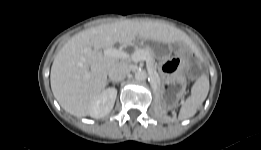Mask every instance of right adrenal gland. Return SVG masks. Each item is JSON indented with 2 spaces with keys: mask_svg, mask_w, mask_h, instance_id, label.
Segmentation results:
<instances>
[{
  "mask_svg": "<svg viewBox=\"0 0 261 150\" xmlns=\"http://www.w3.org/2000/svg\"><path fill=\"white\" fill-rule=\"evenodd\" d=\"M110 82H112V81H111V80H108V81H107V84H109ZM112 84L115 85L114 82H112Z\"/></svg>",
  "mask_w": 261,
  "mask_h": 150,
  "instance_id": "2a0ac1e0",
  "label": "right adrenal gland"
}]
</instances>
